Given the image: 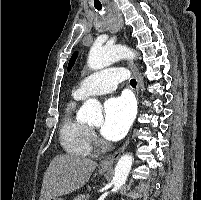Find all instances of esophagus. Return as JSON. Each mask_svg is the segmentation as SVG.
I'll list each match as a JSON object with an SVG mask.
<instances>
[{"mask_svg":"<svg viewBox=\"0 0 201 200\" xmlns=\"http://www.w3.org/2000/svg\"><path fill=\"white\" fill-rule=\"evenodd\" d=\"M121 21H122V19H121ZM128 66L131 69L134 77L136 78V81H137L136 92H137V98L139 99V91H140V86H141V76H140V73H139L137 66L132 61L128 62ZM128 144H129V139L113 155L103 159L100 163V167L103 169L111 168L113 166V164L117 161L119 156L126 149Z\"/></svg>","mask_w":201,"mask_h":200,"instance_id":"obj_1","label":"esophagus"}]
</instances>
